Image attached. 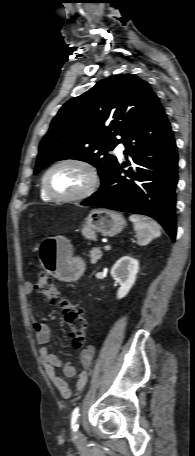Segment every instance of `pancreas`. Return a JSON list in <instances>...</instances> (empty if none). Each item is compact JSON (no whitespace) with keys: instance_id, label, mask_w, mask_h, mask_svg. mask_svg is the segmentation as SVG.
Returning a JSON list of instances; mask_svg holds the SVG:
<instances>
[{"instance_id":"cf45deb5","label":"pancreas","mask_w":195,"mask_h":456,"mask_svg":"<svg viewBox=\"0 0 195 456\" xmlns=\"http://www.w3.org/2000/svg\"><path fill=\"white\" fill-rule=\"evenodd\" d=\"M90 261L92 264H95L102 257V252L100 247H95L90 251L89 254Z\"/></svg>"}]
</instances>
